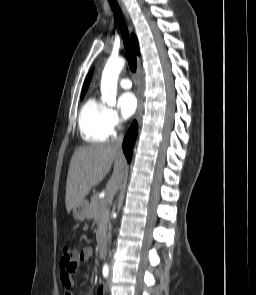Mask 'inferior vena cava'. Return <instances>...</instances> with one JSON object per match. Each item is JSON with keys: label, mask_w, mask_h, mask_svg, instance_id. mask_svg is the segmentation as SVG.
<instances>
[{"label": "inferior vena cava", "mask_w": 256, "mask_h": 295, "mask_svg": "<svg viewBox=\"0 0 256 295\" xmlns=\"http://www.w3.org/2000/svg\"><path fill=\"white\" fill-rule=\"evenodd\" d=\"M122 141H123V133H120L119 134V136H118V138L116 139V141H115V147H117V148H121V145H122Z\"/></svg>", "instance_id": "obj_1"}]
</instances>
